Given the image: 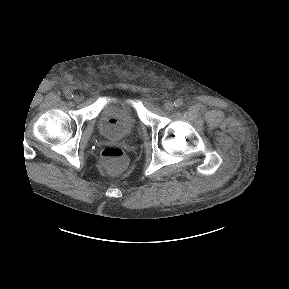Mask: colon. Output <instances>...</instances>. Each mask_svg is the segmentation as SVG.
Returning <instances> with one entry per match:
<instances>
[{
    "label": "colon",
    "mask_w": 289,
    "mask_h": 289,
    "mask_svg": "<svg viewBox=\"0 0 289 289\" xmlns=\"http://www.w3.org/2000/svg\"><path fill=\"white\" fill-rule=\"evenodd\" d=\"M100 162L109 172L118 174L125 169L127 157L121 148L108 146L102 150Z\"/></svg>",
    "instance_id": "1"
}]
</instances>
